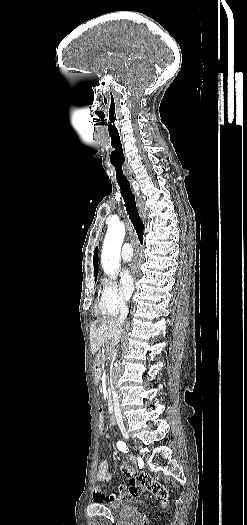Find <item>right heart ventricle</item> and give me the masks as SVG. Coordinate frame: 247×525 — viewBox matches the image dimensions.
<instances>
[{
	"instance_id": "1",
	"label": "right heart ventricle",
	"mask_w": 247,
	"mask_h": 525,
	"mask_svg": "<svg viewBox=\"0 0 247 525\" xmlns=\"http://www.w3.org/2000/svg\"><path fill=\"white\" fill-rule=\"evenodd\" d=\"M95 315L96 317H115L117 313H111L102 304H100V302H97L95 305Z\"/></svg>"
}]
</instances>
